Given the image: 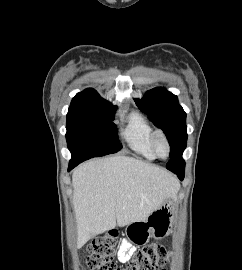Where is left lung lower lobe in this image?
Segmentation results:
<instances>
[{
    "mask_svg": "<svg viewBox=\"0 0 242 270\" xmlns=\"http://www.w3.org/2000/svg\"><path fill=\"white\" fill-rule=\"evenodd\" d=\"M177 176H178V178H179L180 180H183V178H184V173H179V174H177Z\"/></svg>",
    "mask_w": 242,
    "mask_h": 270,
    "instance_id": "1",
    "label": "left lung lower lobe"
}]
</instances>
